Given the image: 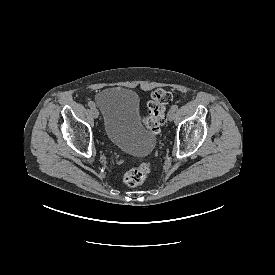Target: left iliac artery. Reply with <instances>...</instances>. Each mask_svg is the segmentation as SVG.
I'll list each match as a JSON object with an SVG mask.
<instances>
[{
	"label": "left iliac artery",
	"instance_id": "44dca946",
	"mask_svg": "<svg viewBox=\"0 0 275 275\" xmlns=\"http://www.w3.org/2000/svg\"><path fill=\"white\" fill-rule=\"evenodd\" d=\"M171 110H173V111L178 110V105H173V106L171 107Z\"/></svg>",
	"mask_w": 275,
	"mask_h": 275
}]
</instances>
